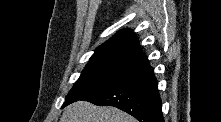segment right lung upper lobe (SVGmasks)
<instances>
[{
  "label": "right lung upper lobe",
  "instance_id": "cb5924a9",
  "mask_svg": "<svg viewBox=\"0 0 221 122\" xmlns=\"http://www.w3.org/2000/svg\"><path fill=\"white\" fill-rule=\"evenodd\" d=\"M104 58H121L139 62L145 58V54L140 50L139 42L134 34L123 29L100 45L90 61Z\"/></svg>",
  "mask_w": 221,
  "mask_h": 122
}]
</instances>
